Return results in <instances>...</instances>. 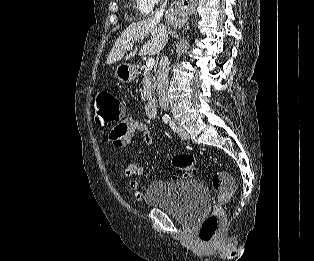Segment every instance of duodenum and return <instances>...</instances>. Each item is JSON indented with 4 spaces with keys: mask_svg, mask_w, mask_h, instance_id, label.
Listing matches in <instances>:
<instances>
[{
    "mask_svg": "<svg viewBox=\"0 0 314 261\" xmlns=\"http://www.w3.org/2000/svg\"><path fill=\"white\" fill-rule=\"evenodd\" d=\"M145 114L148 118H154L156 115V105L153 101L145 104Z\"/></svg>",
    "mask_w": 314,
    "mask_h": 261,
    "instance_id": "obj_1",
    "label": "duodenum"
}]
</instances>
